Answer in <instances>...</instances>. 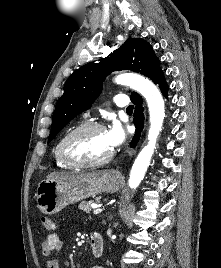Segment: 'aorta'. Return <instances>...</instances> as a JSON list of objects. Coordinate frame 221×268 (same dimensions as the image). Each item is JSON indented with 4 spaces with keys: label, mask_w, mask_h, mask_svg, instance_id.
<instances>
[{
    "label": "aorta",
    "mask_w": 221,
    "mask_h": 268,
    "mask_svg": "<svg viewBox=\"0 0 221 268\" xmlns=\"http://www.w3.org/2000/svg\"><path fill=\"white\" fill-rule=\"evenodd\" d=\"M115 82L126 85L142 94L148 104L150 114V128L148 144L138 154L129 176V187L136 189L144 178L150 160L156 147L158 135L162 129L165 117L164 101L158 88L148 79L132 73L120 74Z\"/></svg>",
    "instance_id": "762f6f07"
}]
</instances>
